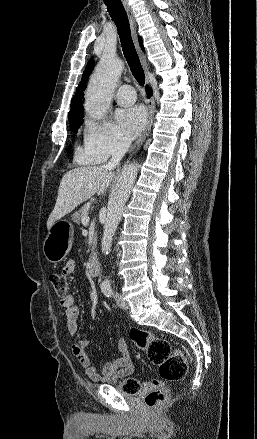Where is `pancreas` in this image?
<instances>
[{
  "label": "pancreas",
  "mask_w": 257,
  "mask_h": 439,
  "mask_svg": "<svg viewBox=\"0 0 257 439\" xmlns=\"http://www.w3.org/2000/svg\"><path fill=\"white\" fill-rule=\"evenodd\" d=\"M90 206L84 205L82 208H80L77 212H75L71 216V220L74 223L80 224L82 222V218L89 215Z\"/></svg>",
  "instance_id": "obj_1"
}]
</instances>
